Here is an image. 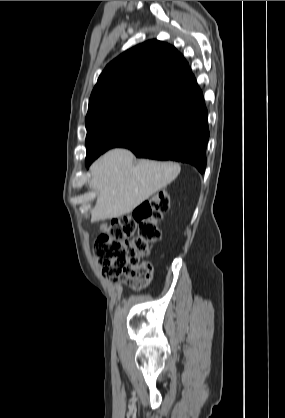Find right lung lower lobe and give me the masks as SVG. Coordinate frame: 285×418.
I'll return each mask as SVG.
<instances>
[{
	"mask_svg": "<svg viewBox=\"0 0 285 418\" xmlns=\"http://www.w3.org/2000/svg\"><path fill=\"white\" fill-rule=\"evenodd\" d=\"M209 136L208 111L200 92L170 108L159 121L120 147L139 158L189 163L203 173Z\"/></svg>",
	"mask_w": 285,
	"mask_h": 418,
	"instance_id": "1",
	"label": "right lung lower lobe"
}]
</instances>
